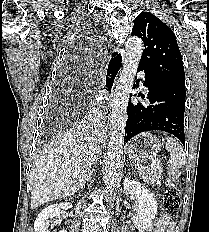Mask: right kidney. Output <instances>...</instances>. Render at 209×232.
<instances>
[{
	"instance_id": "obj_1",
	"label": "right kidney",
	"mask_w": 209,
	"mask_h": 232,
	"mask_svg": "<svg viewBox=\"0 0 209 232\" xmlns=\"http://www.w3.org/2000/svg\"><path fill=\"white\" fill-rule=\"evenodd\" d=\"M72 207V204L69 202L50 205L44 208L39 215L37 216L34 222V231L35 232H50V220L54 218H59L61 214V209H69ZM61 232H66L65 230Z\"/></svg>"
}]
</instances>
